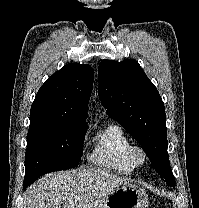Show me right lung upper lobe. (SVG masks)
Instances as JSON below:
<instances>
[{
	"mask_svg": "<svg viewBox=\"0 0 199 208\" xmlns=\"http://www.w3.org/2000/svg\"><path fill=\"white\" fill-rule=\"evenodd\" d=\"M93 80L94 72L89 65L64 66L39 89L31 107L30 120L86 123Z\"/></svg>",
	"mask_w": 199,
	"mask_h": 208,
	"instance_id": "obj_1",
	"label": "right lung upper lobe"
}]
</instances>
